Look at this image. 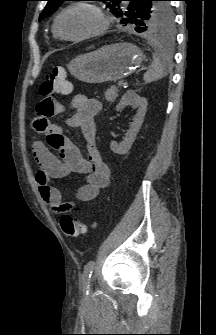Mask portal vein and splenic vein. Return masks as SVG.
<instances>
[{
	"label": "portal vein and splenic vein",
	"instance_id": "portal-vein-and-splenic-vein-1",
	"mask_svg": "<svg viewBox=\"0 0 216 335\" xmlns=\"http://www.w3.org/2000/svg\"><path fill=\"white\" fill-rule=\"evenodd\" d=\"M123 84H124V80H120V81H118V87H122L123 86Z\"/></svg>",
	"mask_w": 216,
	"mask_h": 335
}]
</instances>
